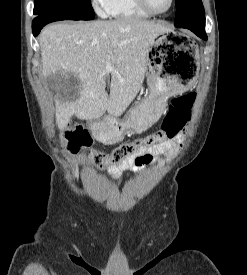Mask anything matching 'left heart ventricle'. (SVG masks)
Here are the masks:
<instances>
[{"mask_svg": "<svg viewBox=\"0 0 247 275\" xmlns=\"http://www.w3.org/2000/svg\"><path fill=\"white\" fill-rule=\"evenodd\" d=\"M149 5L156 11L166 10L170 4V0H148Z\"/></svg>", "mask_w": 247, "mask_h": 275, "instance_id": "left-heart-ventricle-1", "label": "left heart ventricle"}]
</instances>
